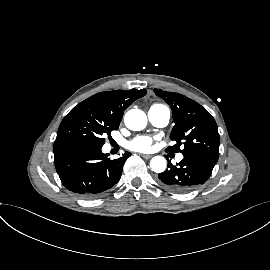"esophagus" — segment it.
<instances>
[{
  "label": "esophagus",
  "mask_w": 270,
  "mask_h": 270,
  "mask_svg": "<svg viewBox=\"0 0 270 270\" xmlns=\"http://www.w3.org/2000/svg\"><path fill=\"white\" fill-rule=\"evenodd\" d=\"M143 158H145V159H150L152 156L151 155H145V154H143V155H141Z\"/></svg>",
  "instance_id": "esophagus-1"
}]
</instances>
